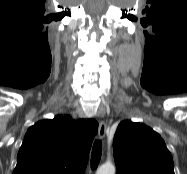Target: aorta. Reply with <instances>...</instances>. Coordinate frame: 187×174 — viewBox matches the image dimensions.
<instances>
[{
    "mask_svg": "<svg viewBox=\"0 0 187 174\" xmlns=\"http://www.w3.org/2000/svg\"><path fill=\"white\" fill-rule=\"evenodd\" d=\"M96 174H115V167L113 164H110V163L103 164L97 170Z\"/></svg>",
    "mask_w": 187,
    "mask_h": 174,
    "instance_id": "obj_1",
    "label": "aorta"
}]
</instances>
